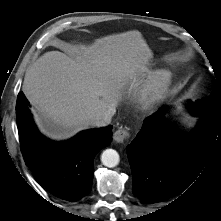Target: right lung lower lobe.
<instances>
[{
	"label": "right lung lower lobe",
	"instance_id": "obj_1",
	"mask_svg": "<svg viewBox=\"0 0 221 221\" xmlns=\"http://www.w3.org/2000/svg\"><path fill=\"white\" fill-rule=\"evenodd\" d=\"M16 119L26 165L54 196L74 202L92 187L95 155L112 141V127L90 129L65 142H53L37 130L23 92L17 97Z\"/></svg>",
	"mask_w": 221,
	"mask_h": 221
}]
</instances>
